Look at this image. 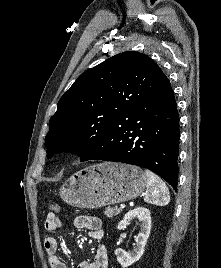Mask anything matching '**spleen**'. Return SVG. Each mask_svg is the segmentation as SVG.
<instances>
[{
    "label": "spleen",
    "mask_w": 221,
    "mask_h": 268,
    "mask_svg": "<svg viewBox=\"0 0 221 268\" xmlns=\"http://www.w3.org/2000/svg\"><path fill=\"white\" fill-rule=\"evenodd\" d=\"M145 175L147 178V190L144 201L158 206L167 205L170 201V196L166 184L155 173L148 169L145 170Z\"/></svg>",
    "instance_id": "obj_1"
}]
</instances>
